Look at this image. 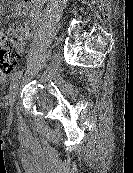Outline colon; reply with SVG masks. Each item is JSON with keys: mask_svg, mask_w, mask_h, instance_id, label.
<instances>
[{"mask_svg": "<svg viewBox=\"0 0 133 173\" xmlns=\"http://www.w3.org/2000/svg\"><path fill=\"white\" fill-rule=\"evenodd\" d=\"M23 38L15 35L5 46L0 47V77L11 73L22 60L21 48Z\"/></svg>", "mask_w": 133, "mask_h": 173, "instance_id": "colon-1", "label": "colon"}]
</instances>
